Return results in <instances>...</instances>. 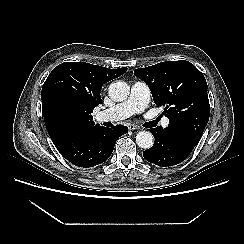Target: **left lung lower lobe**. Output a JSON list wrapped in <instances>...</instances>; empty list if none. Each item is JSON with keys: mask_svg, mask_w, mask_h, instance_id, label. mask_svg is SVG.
Wrapping results in <instances>:
<instances>
[{"mask_svg": "<svg viewBox=\"0 0 244 244\" xmlns=\"http://www.w3.org/2000/svg\"><path fill=\"white\" fill-rule=\"evenodd\" d=\"M154 145L143 152L144 158L159 166H172L181 163L192 152L199 141L185 134L161 126L151 128Z\"/></svg>", "mask_w": 244, "mask_h": 244, "instance_id": "0a47b994", "label": "left lung lower lobe"}]
</instances>
